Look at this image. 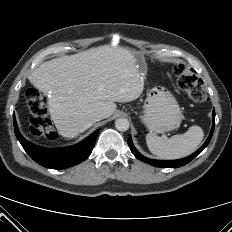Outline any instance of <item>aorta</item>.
I'll return each instance as SVG.
<instances>
[{
	"label": "aorta",
	"instance_id": "aorta-1",
	"mask_svg": "<svg viewBox=\"0 0 232 232\" xmlns=\"http://www.w3.org/2000/svg\"><path fill=\"white\" fill-rule=\"evenodd\" d=\"M115 127L119 131H127L130 127V123L126 118H119L115 121Z\"/></svg>",
	"mask_w": 232,
	"mask_h": 232
}]
</instances>
